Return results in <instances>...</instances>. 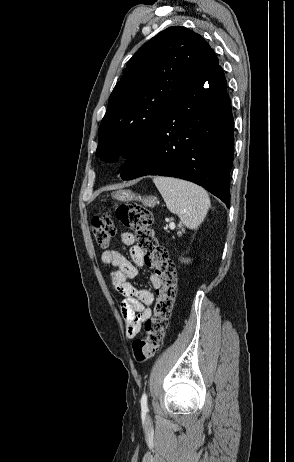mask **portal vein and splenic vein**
Wrapping results in <instances>:
<instances>
[{"label": "portal vein and splenic vein", "instance_id": "1", "mask_svg": "<svg viewBox=\"0 0 294 462\" xmlns=\"http://www.w3.org/2000/svg\"><path fill=\"white\" fill-rule=\"evenodd\" d=\"M170 227H175V224H174V223H170Z\"/></svg>", "mask_w": 294, "mask_h": 462}]
</instances>
